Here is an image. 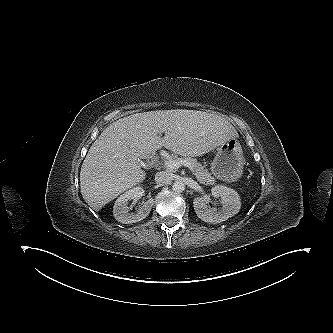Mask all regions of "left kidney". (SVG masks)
I'll return each mask as SVG.
<instances>
[{
    "mask_svg": "<svg viewBox=\"0 0 333 333\" xmlns=\"http://www.w3.org/2000/svg\"><path fill=\"white\" fill-rule=\"evenodd\" d=\"M215 198L221 199L222 207L217 209L209 207V198L197 197L193 200L194 210L201 220L208 223H220L237 214L241 208L239 194L225 186H215L211 190Z\"/></svg>",
    "mask_w": 333,
    "mask_h": 333,
    "instance_id": "left-kidney-1",
    "label": "left kidney"
}]
</instances>
